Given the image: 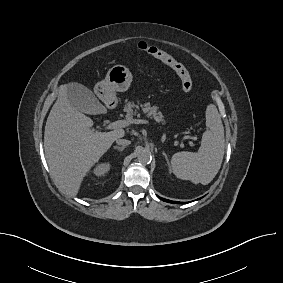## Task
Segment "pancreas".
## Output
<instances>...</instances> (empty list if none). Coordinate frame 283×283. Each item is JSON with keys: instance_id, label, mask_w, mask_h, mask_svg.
I'll use <instances>...</instances> for the list:
<instances>
[{"instance_id": "obj_1", "label": "pancreas", "mask_w": 283, "mask_h": 283, "mask_svg": "<svg viewBox=\"0 0 283 283\" xmlns=\"http://www.w3.org/2000/svg\"><path fill=\"white\" fill-rule=\"evenodd\" d=\"M140 108L147 117L154 118L156 122H161L164 124V116L160 111H158L157 106H151L150 103H138L136 105L133 101H127L124 107V111L126 112V119H133V115L138 114Z\"/></svg>"}]
</instances>
